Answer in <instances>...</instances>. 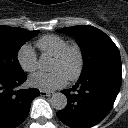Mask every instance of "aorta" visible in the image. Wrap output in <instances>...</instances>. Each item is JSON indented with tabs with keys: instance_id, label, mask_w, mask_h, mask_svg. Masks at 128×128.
Masks as SVG:
<instances>
[{
	"instance_id": "aorta-1",
	"label": "aorta",
	"mask_w": 128,
	"mask_h": 128,
	"mask_svg": "<svg viewBox=\"0 0 128 128\" xmlns=\"http://www.w3.org/2000/svg\"><path fill=\"white\" fill-rule=\"evenodd\" d=\"M39 67L47 71L49 68L50 60L46 56H41L38 61ZM51 105L56 110H63L67 106V97L60 92L54 93L51 97Z\"/></svg>"
}]
</instances>
